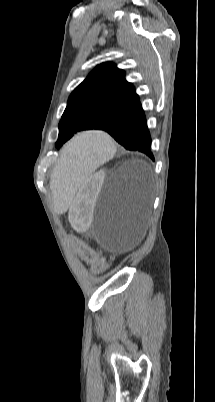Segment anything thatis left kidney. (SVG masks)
I'll use <instances>...</instances> for the list:
<instances>
[{
    "instance_id": "1",
    "label": "left kidney",
    "mask_w": 215,
    "mask_h": 402,
    "mask_svg": "<svg viewBox=\"0 0 215 402\" xmlns=\"http://www.w3.org/2000/svg\"><path fill=\"white\" fill-rule=\"evenodd\" d=\"M108 172L106 169H98L97 174H93V181L83 184L81 193L75 197L72 204L69 220L75 226L76 232H88V222L92 221V208L100 193L102 186V178H106Z\"/></svg>"
}]
</instances>
